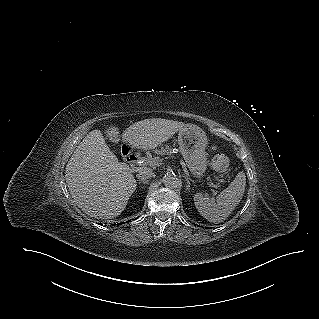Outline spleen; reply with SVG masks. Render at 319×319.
<instances>
[{
    "label": "spleen",
    "mask_w": 319,
    "mask_h": 319,
    "mask_svg": "<svg viewBox=\"0 0 319 319\" xmlns=\"http://www.w3.org/2000/svg\"><path fill=\"white\" fill-rule=\"evenodd\" d=\"M246 186V176L239 172L233 182L216 198L196 193L194 204L201 216L213 223L223 222L240 203Z\"/></svg>",
    "instance_id": "3e777b00"
}]
</instances>
